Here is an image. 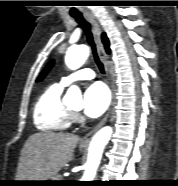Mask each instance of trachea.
Returning <instances> with one entry per match:
<instances>
[{
  "instance_id": "3493384b",
  "label": "trachea",
  "mask_w": 178,
  "mask_h": 186,
  "mask_svg": "<svg viewBox=\"0 0 178 186\" xmlns=\"http://www.w3.org/2000/svg\"><path fill=\"white\" fill-rule=\"evenodd\" d=\"M74 19L76 20V22L81 25L84 29V32L86 34L87 37V41L90 44L91 48H92V53H93V57L94 60L96 62V64L98 65L101 73H105L104 71V65L101 62L99 55L97 53V48H96V44L94 41V37H93V33H92V29H91V25L89 22H87L82 16H75Z\"/></svg>"
}]
</instances>
